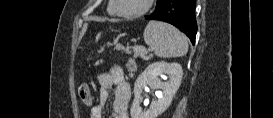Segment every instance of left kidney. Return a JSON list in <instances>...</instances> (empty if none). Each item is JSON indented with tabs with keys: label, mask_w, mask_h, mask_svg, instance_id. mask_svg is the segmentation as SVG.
<instances>
[{
	"label": "left kidney",
	"mask_w": 273,
	"mask_h": 118,
	"mask_svg": "<svg viewBox=\"0 0 273 118\" xmlns=\"http://www.w3.org/2000/svg\"><path fill=\"white\" fill-rule=\"evenodd\" d=\"M183 70L178 63L155 62L150 64L136 79L134 84V100L131 106V118H157L170 106L173 96L180 87ZM159 77L168 79L162 82ZM149 86L152 89H160L161 96L153 101L150 108L143 110L140 106L141 93Z\"/></svg>",
	"instance_id": "5707ae66"
}]
</instances>
